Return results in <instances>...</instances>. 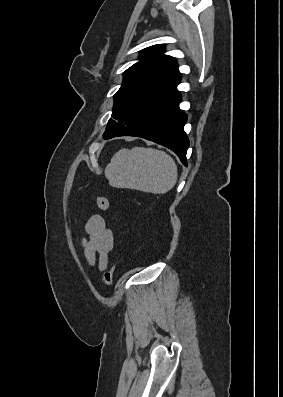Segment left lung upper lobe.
<instances>
[{"label":"left lung upper lobe","mask_w":283,"mask_h":397,"mask_svg":"<svg viewBox=\"0 0 283 397\" xmlns=\"http://www.w3.org/2000/svg\"><path fill=\"white\" fill-rule=\"evenodd\" d=\"M163 52V44L143 49L140 61L124 72L112 111V117L119 122L109 120L104 138L119 134L150 108L178 92V64Z\"/></svg>","instance_id":"left-lung-upper-lobe-1"}]
</instances>
